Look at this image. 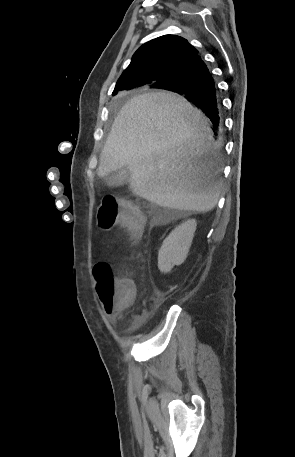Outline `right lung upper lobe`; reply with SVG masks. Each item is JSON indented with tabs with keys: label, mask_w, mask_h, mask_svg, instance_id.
<instances>
[{
	"label": "right lung upper lobe",
	"mask_w": 295,
	"mask_h": 457,
	"mask_svg": "<svg viewBox=\"0 0 295 457\" xmlns=\"http://www.w3.org/2000/svg\"><path fill=\"white\" fill-rule=\"evenodd\" d=\"M197 57L198 50L182 37L164 35L153 39L134 53L114 92L135 88L134 85L155 87L174 80L182 68Z\"/></svg>",
	"instance_id": "obj_1"
}]
</instances>
